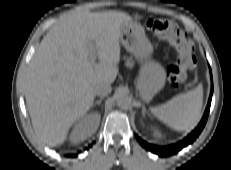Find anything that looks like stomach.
Masks as SVG:
<instances>
[{
	"label": "stomach",
	"instance_id": "stomach-1",
	"mask_svg": "<svg viewBox=\"0 0 231 170\" xmlns=\"http://www.w3.org/2000/svg\"><path fill=\"white\" fill-rule=\"evenodd\" d=\"M120 41L125 49L141 63L138 88L141 94L147 97L156 86H162L165 81L162 66L150 59L153 47L145 37L143 27L133 20L126 21L121 25Z\"/></svg>",
	"mask_w": 231,
	"mask_h": 170
}]
</instances>
